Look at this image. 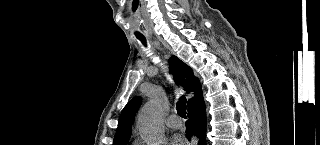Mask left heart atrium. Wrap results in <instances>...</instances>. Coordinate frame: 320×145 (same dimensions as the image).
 I'll return each mask as SVG.
<instances>
[{"label":"left heart atrium","instance_id":"left-heart-atrium-1","mask_svg":"<svg viewBox=\"0 0 320 145\" xmlns=\"http://www.w3.org/2000/svg\"><path fill=\"white\" fill-rule=\"evenodd\" d=\"M185 140L181 136H174L172 139V144L173 145H184Z\"/></svg>","mask_w":320,"mask_h":145}]
</instances>
